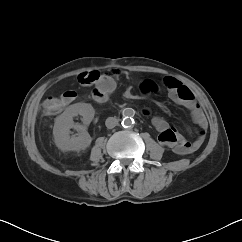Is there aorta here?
Wrapping results in <instances>:
<instances>
[{
    "label": "aorta",
    "mask_w": 242,
    "mask_h": 242,
    "mask_svg": "<svg viewBox=\"0 0 242 242\" xmlns=\"http://www.w3.org/2000/svg\"><path fill=\"white\" fill-rule=\"evenodd\" d=\"M122 114L124 117L122 120V126L125 128L131 127L134 124L133 117L135 115V110L132 108H125Z\"/></svg>",
    "instance_id": "1"
}]
</instances>
